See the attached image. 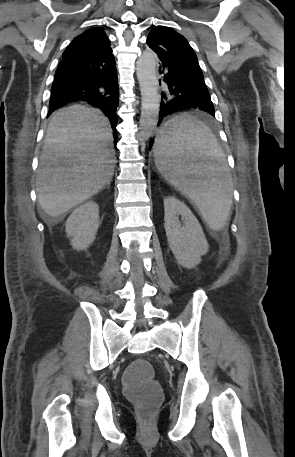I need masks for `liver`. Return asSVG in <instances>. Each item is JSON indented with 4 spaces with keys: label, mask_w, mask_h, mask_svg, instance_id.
<instances>
[{
    "label": "liver",
    "mask_w": 295,
    "mask_h": 457,
    "mask_svg": "<svg viewBox=\"0 0 295 457\" xmlns=\"http://www.w3.org/2000/svg\"><path fill=\"white\" fill-rule=\"evenodd\" d=\"M112 140L99 109L75 104L53 114L36 176L38 202L47 215L61 216L112 180Z\"/></svg>",
    "instance_id": "1"
}]
</instances>
